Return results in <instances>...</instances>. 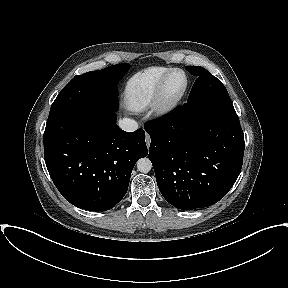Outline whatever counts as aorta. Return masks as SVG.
Returning <instances> with one entry per match:
<instances>
[{"label":"aorta","mask_w":288,"mask_h":288,"mask_svg":"<svg viewBox=\"0 0 288 288\" xmlns=\"http://www.w3.org/2000/svg\"><path fill=\"white\" fill-rule=\"evenodd\" d=\"M152 168V163L149 158L144 157L140 158L137 161V169L142 173H148Z\"/></svg>","instance_id":"obj_1"}]
</instances>
